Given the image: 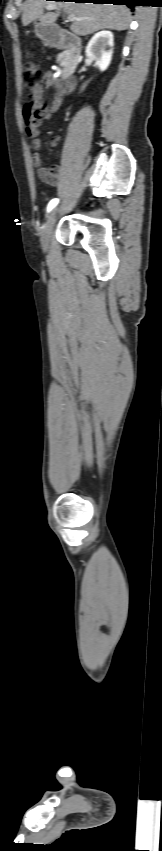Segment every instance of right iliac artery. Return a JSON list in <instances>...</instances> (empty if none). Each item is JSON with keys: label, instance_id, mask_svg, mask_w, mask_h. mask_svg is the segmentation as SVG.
<instances>
[{"label": "right iliac artery", "instance_id": "82829eb1", "mask_svg": "<svg viewBox=\"0 0 162 851\" xmlns=\"http://www.w3.org/2000/svg\"><path fill=\"white\" fill-rule=\"evenodd\" d=\"M58 202L59 200L57 198L52 199L48 204L47 211L50 212L58 204Z\"/></svg>", "mask_w": 162, "mask_h": 851}]
</instances>
